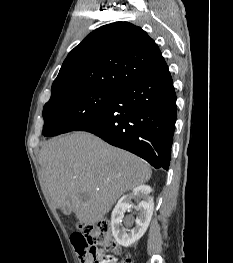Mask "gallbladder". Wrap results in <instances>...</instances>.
<instances>
[{"label": "gallbladder", "instance_id": "1", "mask_svg": "<svg viewBox=\"0 0 233 263\" xmlns=\"http://www.w3.org/2000/svg\"><path fill=\"white\" fill-rule=\"evenodd\" d=\"M61 210L66 216H69L72 213V210L70 208H68L67 206L63 207Z\"/></svg>", "mask_w": 233, "mask_h": 263}]
</instances>
